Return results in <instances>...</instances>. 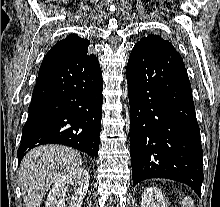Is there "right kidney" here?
<instances>
[{
    "label": "right kidney",
    "instance_id": "ca27d5eb",
    "mask_svg": "<svg viewBox=\"0 0 220 207\" xmlns=\"http://www.w3.org/2000/svg\"><path fill=\"white\" fill-rule=\"evenodd\" d=\"M90 174L84 168H75L70 173L59 178L50 190L46 207H65V201L68 207H81L83 199L89 186ZM68 188L73 192L70 196L67 194Z\"/></svg>",
    "mask_w": 220,
    "mask_h": 207
}]
</instances>
